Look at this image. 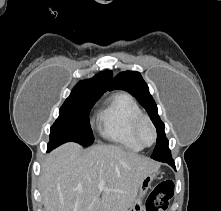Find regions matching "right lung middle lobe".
I'll return each mask as SVG.
<instances>
[{
	"label": "right lung middle lobe",
	"instance_id": "dd1d6c3e",
	"mask_svg": "<svg viewBox=\"0 0 221 211\" xmlns=\"http://www.w3.org/2000/svg\"><path fill=\"white\" fill-rule=\"evenodd\" d=\"M99 97H78L64 102L59 117L51 127L49 150L66 142H76L82 146L94 142L89 112Z\"/></svg>",
	"mask_w": 221,
	"mask_h": 211
}]
</instances>
